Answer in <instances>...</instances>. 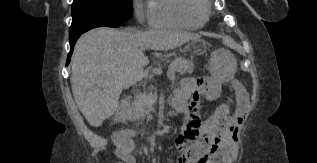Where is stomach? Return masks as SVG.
<instances>
[{
	"instance_id": "stomach-1",
	"label": "stomach",
	"mask_w": 317,
	"mask_h": 163,
	"mask_svg": "<svg viewBox=\"0 0 317 163\" xmlns=\"http://www.w3.org/2000/svg\"><path fill=\"white\" fill-rule=\"evenodd\" d=\"M236 69V58L229 50L221 48L211 53L209 71L218 81L224 82L230 80Z\"/></svg>"
}]
</instances>
